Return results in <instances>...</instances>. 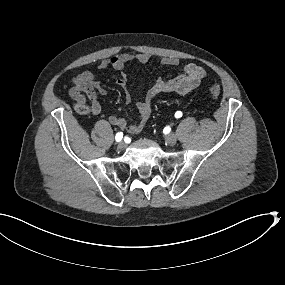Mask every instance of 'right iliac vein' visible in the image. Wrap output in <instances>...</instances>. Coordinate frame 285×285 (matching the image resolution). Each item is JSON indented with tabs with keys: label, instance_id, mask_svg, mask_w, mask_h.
<instances>
[{
	"label": "right iliac vein",
	"instance_id": "obj_1",
	"mask_svg": "<svg viewBox=\"0 0 285 285\" xmlns=\"http://www.w3.org/2000/svg\"><path fill=\"white\" fill-rule=\"evenodd\" d=\"M125 147H126V143H125V142H120V143L118 144V149H120V150L125 149Z\"/></svg>",
	"mask_w": 285,
	"mask_h": 285
}]
</instances>
